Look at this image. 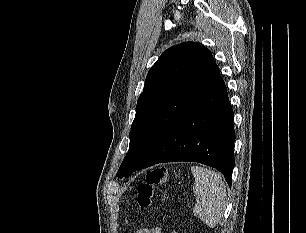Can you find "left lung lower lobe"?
I'll return each instance as SVG.
<instances>
[{
	"label": "left lung lower lobe",
	"instance_id": "1",
	"mask_svg": "<svg viewBox=\"0 0 306 233\" xmlns=\"http://www.w3.org/2000/svg\"><path fill=\"white\" fill-rule=\"evenodd\" d=\"M234 141L233 110L225 83L219 76L139 169L163 162H199L218 169L231 186Z\"/></svg>",
	"mask_w": 306,
	"mask_h": 233
}]
</instances>
